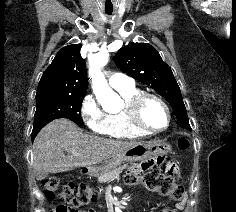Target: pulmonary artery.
<instances>
[{"mask_svg": "<svg viewBox=\"0 0 236 212\" xmlns=\"http://www.w3.org/2000/svg\"><path fill=\"white\" fill-rule=\"evenodd\" d=\"M109 84L114 89L125 88L133 84V81L123 73H112L109 77Z\"/></svg>", "mask_w": 236, "mask_h": 212, "instance_id": "pulmonary-artery-1", "label": "pulmonary artery"}]
</instances>
